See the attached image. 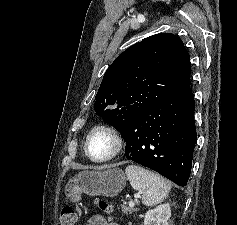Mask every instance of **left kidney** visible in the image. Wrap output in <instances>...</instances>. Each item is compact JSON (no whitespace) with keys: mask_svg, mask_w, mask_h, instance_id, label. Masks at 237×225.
Segmentation results:
<instances>
[{"mask_svg":"<svg viewBox=\"0 0 237 225\" xmlns=\"http://www.w3.org/2000/svg\"><path fill=\"white\" fill-rule=\"evenodd\" d=\"M170 216V204H161L145 214L144 225H169L168 220Z\"/></svg>","mask_w":237,"mask_h":225,"instance_id":"obj_1","label":"left kidney"}]
</instances>
